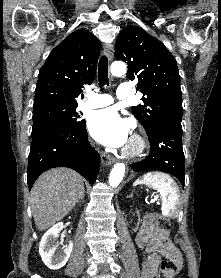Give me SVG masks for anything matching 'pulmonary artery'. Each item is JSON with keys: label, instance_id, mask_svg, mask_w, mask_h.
<instances>
[{"label": "pulmonary artery", "instance_id": "1", "mask_svg": "<svg viewBox=\"0 0 221 278\" xmlns=\"http://www.w3.org/2000/svg\"><path fill=\"white\" fill-rule=\"evenodd\" d=\"M116 95L118 99H129L131 97L130 85L127 83L120 84ZM113 102V97L108 94L90 91L87 93V100L83 103L82 107L85 109L101 108L111 105Z\"/></svg>", "mask_w": 221, "mask_h": 278}]
</instances>
